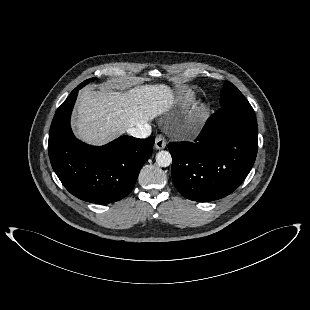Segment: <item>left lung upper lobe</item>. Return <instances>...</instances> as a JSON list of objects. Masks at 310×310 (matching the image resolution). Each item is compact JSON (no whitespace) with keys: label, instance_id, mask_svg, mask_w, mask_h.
<instances>
[{"label":"left lung upper lobe","instance_id":"5c2ea615","mask_svg":"<svg viewBox=\"0 0 310 310\" xmlns=\"http://www.w3.org/2000/svg\"><path fill=\"white\" fill-rule=\"evenodd\" d=\"M248 102L243 94L229 81H225L221 90L220 104L222 107L241 105Z\"/></svg>","mask_w":310,"mask_h":310}]
</instances>
